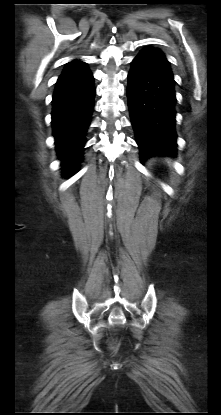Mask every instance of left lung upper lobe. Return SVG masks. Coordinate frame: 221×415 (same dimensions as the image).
<instances>
[{"instance_id": "left-lung-upper-lobe-1", "label": "left lung upper lobe", "mask_w": 221, "mask_h": 415, "mask_svg": "<svg viewBox=\"0 0 221 415\" xmlns=\"http://www.w3.org/2000/svg\"><path fill=\"white\" fill-rule=\"evenodd\" d=\"M139 54L152 55L155 58H157L160 61H162L163 63H165L167 66H169L168 60L166 59V57L164 56V54L159 49H157V48L146 47L143 50H141V52Z\"/></svg>"}]
</instances>
